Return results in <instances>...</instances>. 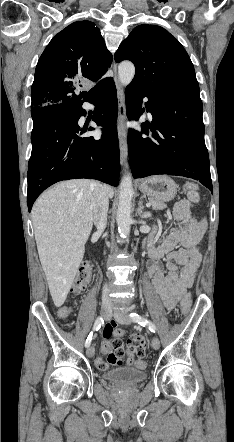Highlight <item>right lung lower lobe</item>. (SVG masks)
Returning <instances> with one entry per match:
<instances>
[{
  "label": "right lung lower lobe",
  "mask_w": 234,
  "mask_h": 442,
  "mask_svg": "<svg viewBox=\"0 0 234 442\" xmlns=\"http://www.w3.org/2000/svg\"><path fill=\"white\" fill-rule=\"evenodd\" d=\"M96 106L93 121L103 127L100 139L81 137L87 130L78 120L83 102ZM116 87L110 78L87 97L73 102L32 108V153L28 165L29 212L36 198L52 184L68 179L93 178L118 186L120 175L116 119Z\"/></svg>",
  "instance_id": "98d812e1"
}]
</instances>
